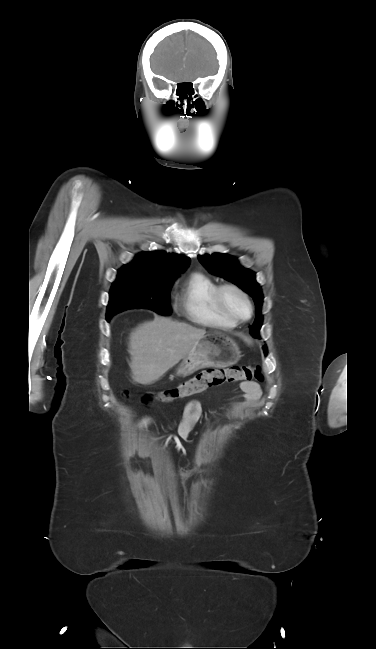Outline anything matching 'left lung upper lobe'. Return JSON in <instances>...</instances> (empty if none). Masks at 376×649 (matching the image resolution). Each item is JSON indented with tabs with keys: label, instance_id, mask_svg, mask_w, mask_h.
Instances as JSON below:
<instances>
[{
	"label": "left lung upper lobe",
	"instance_id": "left-lung-upper-lobe-1",
	"mask_svg": "<svg viewBox=\"0 0 376 649\" xmlns=\"http://www.w3.org/2000/svg\"><path fill=\"white\" fill-rule=\"evenodd\" d=\"M202 265L212 274L223 277L251 295L255 302L256 318L250 328L253 337L259 338V330L262 325V315L260 313L262 306L261 287L256 282L255 273L241 267L235 257L223 253H214L212 255L198 256Z\"/></svg>",
	"mask_w": 376,
	"mask_h": 649
}]
</instances>
